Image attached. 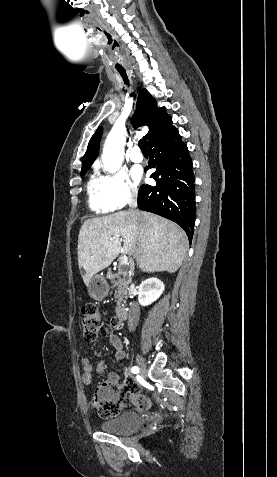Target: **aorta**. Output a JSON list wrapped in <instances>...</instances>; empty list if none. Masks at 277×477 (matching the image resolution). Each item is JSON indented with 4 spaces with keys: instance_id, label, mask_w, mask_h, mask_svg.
<instances>
[{
    "instance_id": "obj_1",
    "label": "aorta",
    "mask_w": 277,
    "mask_h": 477,
    "mask_svg": "<svg viewBox=\"0 0 277 477\" xmlns=\"http://www.w3.org/2000/svg\"><path fill=\"white\" fill-rule=\"evenodd\" d=\"M126 141V128L122 124H114L109 132L103 148L104 169L115 173L121 167L124 156V145Z\"/></svg>"
}]
</instances>
